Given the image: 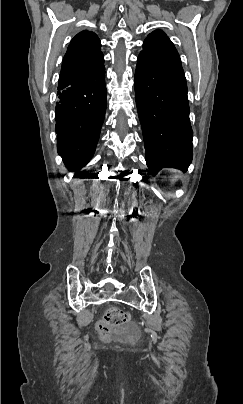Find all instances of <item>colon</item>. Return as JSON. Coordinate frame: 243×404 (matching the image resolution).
<instances>
[{"mask_svg": "<svg viewBox=\"0 0 243 404\" xmlns=\"http://www.w3.org/2000/svg\"><path fill=\"white\" fill-rule=\"evenodd\" d=\"M129 320L127 312L119 307H111L105 313L103 320L99 323V329L102 333L109 332L111 327H121Z\"/></svg>", "mask_w": 243, "mask_h": 404, "instance_id": "obj_1", "label": "colon"}]
</instances>
